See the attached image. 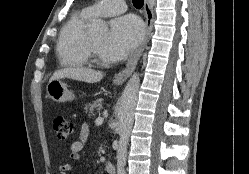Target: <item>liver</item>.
Wrapping results in <instances>:
<instances>
[{"instance_id": "6515ba94", "label": "liver", "mask_w": 249, "mask_h": 174, "mask_svg": "<svg viewBox=\"0 0 249 174\" xmlns=\"http://www.w3.org/2000/svg\"><path fill=\"white\" fill-rule=\"evenodd\" d=\"M102 77L103 74L101 72L93 69L83 67L64 68L56 71L50 78V81L68 78L86 83H96L100 81Z\"/></svg>"}]
</instances>
